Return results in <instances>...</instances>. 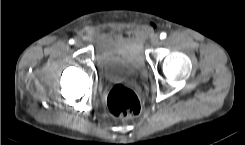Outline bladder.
<instances>
[{"mask_svg": "<svg viewBox=\"0 0 245 145\" xmlns=\"http://www.w3.org/2000/svg\"><path fill=\"white\" fill-rule=\"evenodd\" d=\"M141 43L132 35L109 32L104 34L95 55V64L106 79L130 77L145 68Z\"/></svg>", "mask_w": 245, "mask_h": 145, "instance_id": "bladder-1", "label": "bladder"}]
</instances>
